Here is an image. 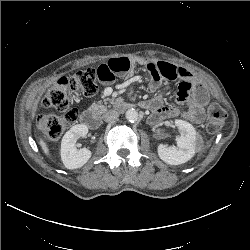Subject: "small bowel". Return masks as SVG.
I'll list each match as a JSON object with an SVG mask.
<instances>
[{"label": "small bowel", "mask_w": 250, "mask_h": 250, "mask_svg": "<svg viewBox=\"0 0 250 250\" xmlns=\"http://www.w3.org/2000/svg\"><path fill=\"white\" fill-rule=\"evenodd\" d=\"M146 66L151 74L149 89L152 92L160 89L162 80L180 81L176 105H163L161 94L141 103L143 107L153 109L152 121L173 118L178 115H183L185 119L193 123L203 121L204 106L208 102V95L203 84L191 71L163 61L148 63ZM134 68V61L127 57H120L107 60L99 65L96 70L100 82L108 85L117 76L131 77L134 73ZM184 107L185 110H183Z\"/></svg>", "instance_id": "small-bowel-1"}]
</instances>
